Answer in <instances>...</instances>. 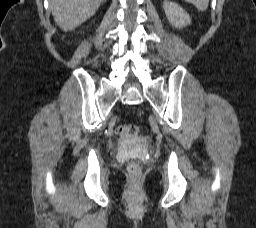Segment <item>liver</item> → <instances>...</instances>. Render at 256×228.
<instances>
[{
    "instance_id": "1",
    "label": "liver",
    "mask_w": 256,
    "mask_h": 228,
    "mask_svg": "<svg viewBox=\"0 0 256 228\" xmlns=\"http://www.w3.org/2000/svg\"><path fill=\"white\" fill-rule=\"evenodd\" d=\"M105 0H50L53 18L63 31H72L98 10Z\"/></svg>"
}]
</instances>
